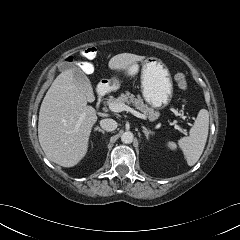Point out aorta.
<instances>
[{
	"mask_svg": "<svg viewBox=\"0 0 240 240\" xmlns=\"http://www.w3.org/2000/svg\"><path fill=\"white\" fill-rule=\"evenodd\" d=\"M133 139H134V135L132 132L130 131H126L122 134L121 136V141L125 144H129V143H132L133 142Z\"/></svg>",
	"mask_w": 240,
	"mask_h": 240,
	"instance_id": "aorta-1",
	"label": "aorta"
}]
</instances>
